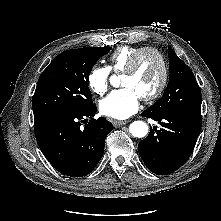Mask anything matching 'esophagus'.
<instances>
[{"instance_id":"esophagus-1","label":"esophagus","mask_w":221,"mask_h":221,"mask_svg":"<svg viewBox=\"0 0 221 221\" xmlns=\"http://www.w3.org/2000/svg\"><path fill=\"white\" fill-rule=\"evenodd\" d=\"M129 121H118V120H114L113 121V126L114 127H120V126H122V125H125V124H127Z\"/></svg>"}]
</instances>
